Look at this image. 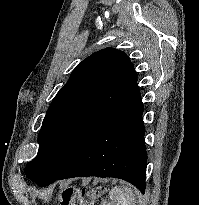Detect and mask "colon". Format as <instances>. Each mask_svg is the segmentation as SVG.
I'll use <instances>...</instances> for the list:
<instances>
[{"mask_svg":"<svg viewBox=\"0 0 199 205\" xmlns=\"http://www.w3.org/2000/svg\"><path fill=\"white\" fill-rule=\"evenodd\" d=\"M78 201L80 205H105L106 193L103 188H85L79 190L76 187H66L60 195V205H73Z\"/></svg>","mask_w":199,"mask_h":205,"instance_id":"obj_1","label":"colon"}]
</instances>
